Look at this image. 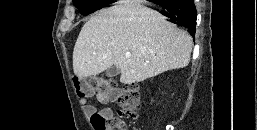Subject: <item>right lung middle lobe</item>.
<instances>
[{
    "mask_svg": "<svg viewBox=\"0 0 257 130\" xmlns=\"http://www.w3.org/2000/svg\"><path fill=\"white\" fill-rule=\"evenodd\" d=\"M73 2L83 15H88L96 9L107 6L111 3L108 0H74Z\"/></svg>",
    "mask_w": 257,
    "mask_h": 130,
    "instance_id": "obj_1",
    "label": "right lung middle lobe"
}]
</instances>
